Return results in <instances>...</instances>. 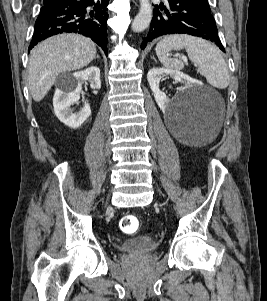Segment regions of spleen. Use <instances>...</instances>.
<instances>
[{"instance_id":"3e777b00","label":"spleen","mask_w":267,"mask_h":301,"mask_svg":"<svg viewBox=\"0 0 267 301\" xmlns=\"http://www.w3.org/2000/svg\"><path fill=\"white\" fill-rule=\"evenodd\" d=\"M185 49L189 59L198 66L197 72L204 76L207 82L218 89L229 85L228 67L220 52L208 41L191 35H169L160 40L155 48L156 55L164 67L182 70V61L168 57L172 50Z\"/></svg>"}]
</instances>
